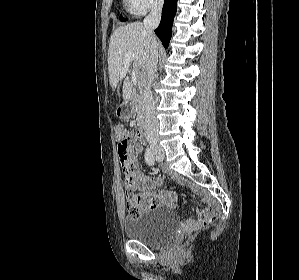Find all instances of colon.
<instances>
[{
	"label": "colon",
	"instance_id": "1",
	"mask_svg": "<svg viewBox=\"0 0 299 280\" xmlns=\"http://www.w3.org/2000/svg\"><path fill=\"white\" fill-rule=\"evenodd\" d=\"M117 145H118V156L123 167L124 172L130 167L129 165V149L131 146V135L127 128L123 126H117L115 129ZM127 198V209L130 215L138 216L143 208L136 199V196L132 191L126 192Z\"/></svg>",
	"mask_w": 299,
	"mask_h": 280
}]
</instances>
